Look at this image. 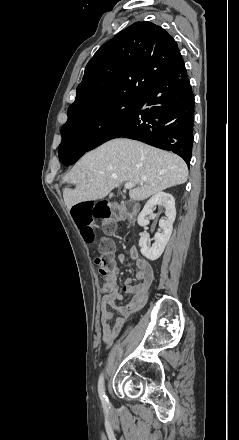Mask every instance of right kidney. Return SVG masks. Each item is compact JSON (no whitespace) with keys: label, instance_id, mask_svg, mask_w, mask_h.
<instances>
[{"label":"right kidney","instance_id":"ca27d5eb","mask_svg":"<svg viewBox=\"0 0 239 440\" xmlns=\"http://www.w3.org/2000/svg\"><path fill=\"white\" fill-rule=\"evenodd\" d=\"M154 206L165 208L166 218H162L159 222L162 232H156L153 238V240H155L154 244H149V234H143L139 240L141 254H143L145 258H148V260H152V262L160 258L162 248L168 247L169 238L173 232V222L176 218L175 200L173 196L166 194V192H158V194H154V196L148 200L142 212H140L137 218L139 226H148L149 220H147L146 216H153Z\"/></svg>","mask_w":239,"mask_h":440}]
</instances>
